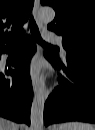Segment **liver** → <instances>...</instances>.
I'll return each mask as SVG.
<instances>
[{"label":"liver","instance_id":"6515ba94","mask_svg":"<svg viewBox=\"0 0 95 130\" xmlns=\"http://www.w3.org/2000/svg\"><path fill=\"white\" fill-rule=\"evenodd\" d=\"M0 130H18V126L5 118L0 119Z\"/></svg>","mask_w":95,"mask_h":130}]
</instances>
